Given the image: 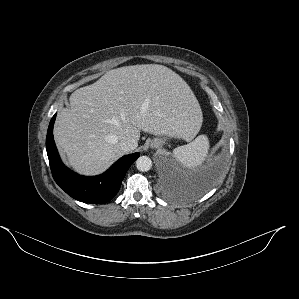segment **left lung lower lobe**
<instances>
[{"mask_svg":"<svg viewBox=\"0 0 299 299\" xmlns=\"http://www.w3.org/2000/svg\"><path fill=\"white\" fill-rule=\"evenodd\" d=\"M220 172V164L213 161L204 166L194 178L192 183L193 190L197 193L210 189L218 178Z\"/></svg>","mask_w":299,"mask_h":299,"instance_id":"left-lung-lower-lobe-1","label":"left lung lower lobe"}]
</instances>
